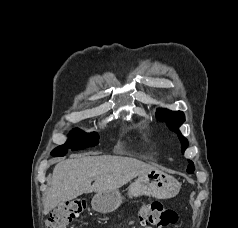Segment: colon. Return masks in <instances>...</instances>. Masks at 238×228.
I'll use <instances>...</instances> for the list:
<instances>
[{
    "instance_id": "5ec220e1",
    "label": "colon",
    "mask_w": 238,
    "mask_h": 228,
    "mask_svg": "<svg viewBox=\"0 0 238 228\" xmlns=\"http://www.w3.org/2000/svg\"><path fill=\"white\" fill-rule=\"evenodd\" d=\"M86 209V202L76 199L54 209L48 220L46 228H68V226L78 218ZM140 219L143 223L157 227L166 228L178 222V214L165 207L160 202L145 204L140 210Z\"/></svg>"
}]
</instances>
